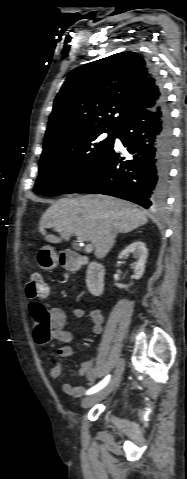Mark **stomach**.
Masks as SVG:
<instances>
[{
	"label": "stomach",
	"instance_id": "obj_1",
	"mask_svg": "<svg viewBox=\"0 0 187 479\" xmlns=\"http://www.w3.org/2000/svg\"><path fill=\"white\" fill-rule=\"evenodd\" d=\"M37 261L40 268L51 270L55 268L59 262V256L51 246H43L37 253Z\"/></svg>",
	"mask_w": 187,
	"mask_h": 479
}]
</instances>
